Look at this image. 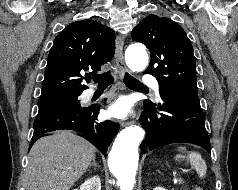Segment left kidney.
<instances>
[{"mask_svg":"<svg viewBox=\"0 0 238 190\" xmlns=\"http://www.w3.org/2000/svg\"><path fill=\"white\" fill-rule=\"evenodd\" d=\"M153 190H167V189H165V188H163V187H156V188H154Z\"/></svg>","mask_w":238,"mask_h":190,"instance_id":"1","label":"left kidney"}]
</instances>
